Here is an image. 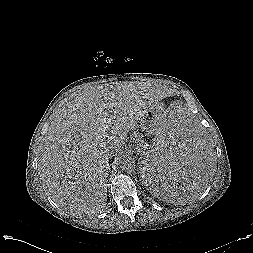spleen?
Here are the masks:
<instances>
[{
    "mask_svg": "<svg viewBox=\"0 0 253 253\" xmlns=\"http://www.w3.org/2000/svg\"><path fill=\"white\" fill-rule=\"evenodd\" d=\"M139 168L151 191L170 202L195 199L214 172V151L198 116L170 111L141 154Z\"/></svg>",
    "mask_w": 253,
    "mask_h": 253,
    "instance_id": "1",
    "label": "spleen"
}]
</instances>
